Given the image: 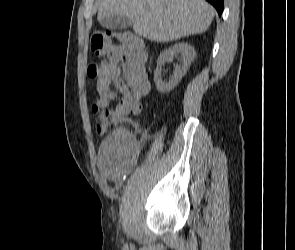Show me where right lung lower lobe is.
<instances>
[{"label": "right lung lower lobe", "instance_id": "1", "mask_svg": "<svg viewBox=\"0 0 295 250\" xmlns=\"http://www.w3.org/2000/svg\"><path fill=\"white\" fill-rule=\"evenodd\" d=\"M207 1L211 3L217 10L218 14L221 15L223 11L224 0H207Z\"/></svg>", "mask_w": 295, "mask_h": 250}]
</instances>
